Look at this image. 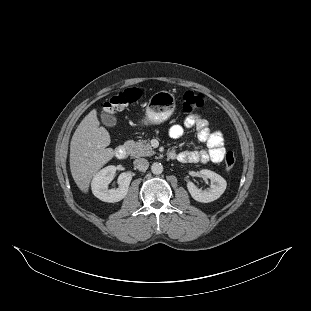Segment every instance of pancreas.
<instances>
[{
  "mask_svg": "<svg viewBox=\"0 0 311 311\" xmlns=\"http://www.w3.org/2000/svg\"><path fill=\"white\" fill-rule=\"evenodd\" d=\"M124 146L131 157L152 156L155 153L151 145L144 141L128 140Z\"/></svg>",
  "mask_w": 311,
  "mask_h": 311,
  "instance_id": "cf45deb5",
  "label": "pancreas"
}]
</instances>
